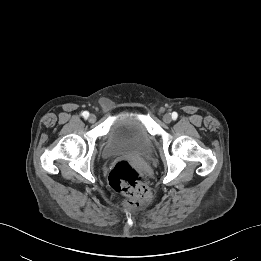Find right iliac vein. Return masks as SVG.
Here are the masks:
<instances>
[{
	"label": "right iliac vein",
	"mask_w": 261,
	"mask_h": 261,
	"mask_svg": "<svg viewBox=\"0 0 261 261\" xmlns=\"http://www.w3.org/2000/svg\"><path fill=\"white\" fill-rule=\"evenodd\" d=\"M88 121L90 123H94L96 121V116L94 114H90L89 118H88Z\"/></svg>",
	"instance_id": "1"
}]
</instances>
